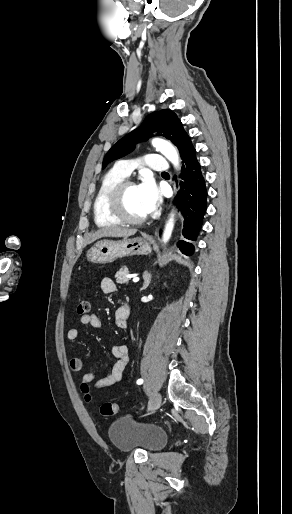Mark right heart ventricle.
I'll use <instances>...</instances> for the list:
<instances>
[{"mask_svg": "<svg viewBox=\"0 0 292 514\" xmlns=\"http://www.w3.org/2000/svg\"><path fill=\"white\" fill-rule=\"evenodd\" d=\"M125 179L126 178L121 176L116 170H111L102 178L95 191L92 203L93 218L97 226L109 227L118 223L106 211L105 196L112 187Z\"/></svg>", "mask_w": 292, "mask_h": 514, "instance_id": "obj_1", "label": "right heart ventricle"}]
</instances>
